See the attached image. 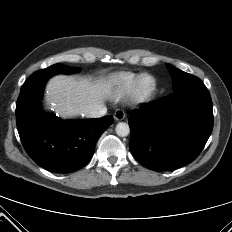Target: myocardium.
Wrapping results in <instances>:
<instances>
[{
    "mask_svg": "<svg viewBox=\"0 0 232 232\" xmlns=\"http://www.w3.org/2000/svg\"><path fill=\"white\" fill-rule=\"evenodd\" d=\"M155 89V79L151 75L143 74L135 82L131 96L136 102H144L151 97Z\"/></svg>",
    "mask_w": 232,
    "mask_h": 232,
    "instance_id": "1",
    "label": "myocardium"
}]
</instances>
